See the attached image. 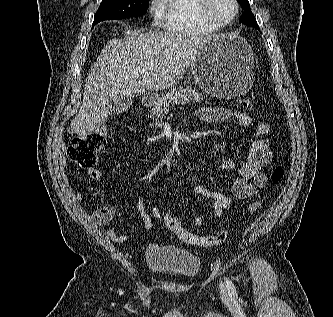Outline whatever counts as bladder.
<instances>
[{"label": "bladder", "instance_id": "31cf9c89", "mask_svg": "<svg viewBox=\"0 0 333 317\" xmlns=\"http://www.w3.org/2000/svg\"><path fill=\"white\" fill-rule=\"evenodd\" d=\"M144 258L149 271L183 280L195 278L201 270L197 255L175 246L151 244L145 249Z\"/></svg>", "mask_w": 333, "mask_h": 317}]
</instances>
